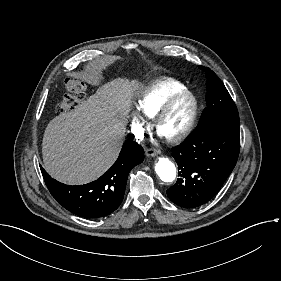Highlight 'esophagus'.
Segmentation results:
<instances>
[{
    "instance_id": "esophagus-1",
    "label": "esophagus",
    "mask_w": 281,
    "mask_h": 281,
    "mask_svg": "<svg viewBox=\"0 0 281 281\" xmlns=\"http://www.w3.org/2000/svg\"><path fill=\"white\" fill-rule=\"evenodd\" d=\"M160 153V150L151 148L146 151L147 157H155Z\"/></svg>"
}]
</instances>
